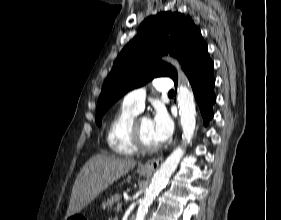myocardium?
Here are the masks:
<instances>
[{
    "label": "myocardium",
    "mask_w": 281,
    "mask_h": 220,
    "mask_svg": "<svg viewBox=\"0 0 281 220\" xmlns=\"http://www.w3.org/2000/svg\"><path fill=\"white\" fill-rule=\"evenodd\" d=\"M141 119H134V121L132 122L131 128H130V140L132 145L135 147V149L138 152H142V153H152L157 151L160 146L156 145V146H148L146 145L142 138H141V134H140V130H139V121Z\"/></svg>",
    "instance_id": "1"
}]
</instances>
